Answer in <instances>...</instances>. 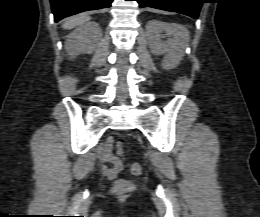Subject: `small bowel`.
Returning a JSON list of instances; mask_svg holds the SVG:
<instances>
[{
  "label": "small bowel",
  "instance_id": "c3829d8e",
  "mask_svg": "<svg viewBox=\"0 0 260 217\" xmlns=\"http://www.w3.org/2000/svg\"><path fill=\"white\" fill-rule=\"evenodd\" d=\"M112 144L113 139L108 138L100 153L101 160L107 163L101 167V171L108 179H114L124 168L123 147L118 144V155H115L111 152Z\"/></svg>",
  "mask_w": 260,
  "mask_h": 217
}]
</instances>
